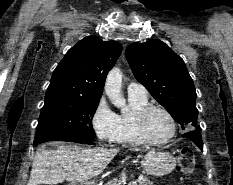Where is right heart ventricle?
<instances>
[{
  "instance_id": "e07e8e85",
  "label": "right heart ventricle",
  "mask_w": 233,
  "mask_h": 185,
  "mask_svg": "<svg viewBox=\"0 0 233 185\" xmlns=\"http://www.w3.org/2000/svg\"><path fill=\"white\" fill-rule=\"evenodd\" d=\"M130 111L118 115L119 135L117 143L129 146H140L145 142L139 137L135 126V115L149 104L147 96L129 95Z\"/></svg>"
}]
</instances>
